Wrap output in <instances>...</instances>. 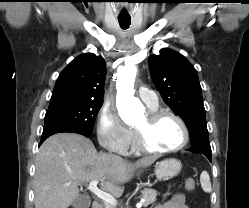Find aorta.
Returning a JSON list of instances; mask_svg holds the SVG:
<instances>
[{"instance_id":"obj_1","label":"aorta","mask_w":249,"mask_h":208,"mask_svg":"<svg viewBox=\"0 0 249 208\" xmlns=\"http://www.w3.org/2000/svg\"><path fill=\"white\" fill-rule=\"evenodd\" d=\"M135 76L136 67L132 64L118 70L116 101L119 116L125 123H132L144 114L143 104L134 97Z\"/></svg>"}]
</instances>
